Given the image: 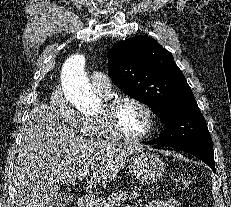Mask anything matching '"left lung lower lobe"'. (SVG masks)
Masks as SVG:
<instances>
[{"label": "left lung lower lobe", "instance_id": "0a47b994", "mask_svg": "<svg viewBox=\"0 0 231 207\" xmlns=\"http://www.w3.org/2000/svg\"><path fill=\"white\" fill-rule=\"evenodd\" d=\"M156 147L158 146L156 145ZM181 150L198 157L199 159L204 161L215 172V162H214V151L213 150H207V149H201V148H192V149L184 148Z\"/></svg>", "mask_w": 231, "mask_h": 207}]
</instances>
